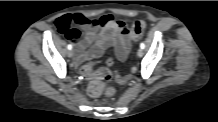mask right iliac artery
I'll use <instances>...</instances> for the list:
<instances>
[{
	"label": "right iliac artery",
	"instance_id": "obj_1",
	"mask_svg": "<svg viewBox=\"0 0 218 122\" xmlns=\"http://www.w3.org/2000/svg\"><path fill=\"white\" fill-rule=\"evenodd\" d=\"M67 48H68L69 50H71V49H72V45H71V44H68Z\"/></svg>",
	"mask_w": 218,
	"mask_h": 122
}]
</instances>
